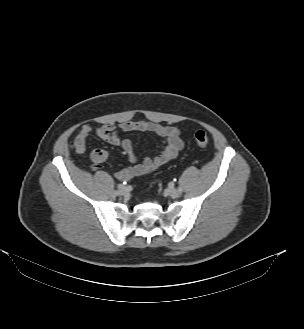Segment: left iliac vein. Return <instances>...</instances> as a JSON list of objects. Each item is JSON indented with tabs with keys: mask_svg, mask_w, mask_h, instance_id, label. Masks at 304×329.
<instances>
[{
	"mask_svg": "<svg viewBox=\"0 0 304 329\" xmlns=\"http://www.w3.org/2000/svg\"><path fill=\"white\" fill-rule=\"evenodd\" d=\"M165 193L171 198H177L180 196V192L176 188H168L165 190Z\"/></svg>",
	"mask_w": 304,
	"mask_h": 329,
	"instance_id": "left-iliac-vein-1",
	"label": "left iliac vein"
}]
</instances>
